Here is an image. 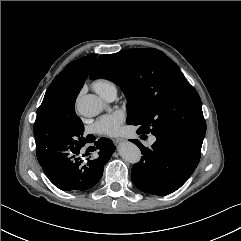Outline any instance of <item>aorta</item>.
Instances as JSON below:
<instances>
[{
    "instance_id": "762f6f07",
    "label": "aorta",
    "mask_w": 241,
    "mask_h": 241,
    "mask_svg": "<svg viewBox=\"0 0 241 241\" xmlns=\"http://www.w3.org/2000/svg\"><path fill=\"white\" fill-rule=\"evenodd\" d=\"M104 107L103 101L94 94H86L78 97L76 101L77 111L84 117H94L98 115ZM119 154L126 162L135 164L141 159V151L132 142H123L119 146Z\"/></svg>"
}]
</instances>
